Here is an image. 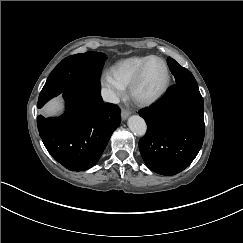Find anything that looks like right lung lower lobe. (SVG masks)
Returning <instances> with one entry per match:
<instances>
[{
	"mask_svg": "<svg viewBox=\"0 0 243 243\" xmlns=\"http://www.w3.org/2000/svg\"><path fill=\"white\" fill-rule=\"evenodd\" d=\"M62 95L65 114L59 118L39 115L38 131L56 161L71 171H84L99 160L121 122V111L104 103L97 87L76 85Z\"/></svg>",
	"mask_w": 243,
	"mask_h": 243,
	"instance_id": "1",
	"label": "right lung lower lobe"
}]
</instances>
